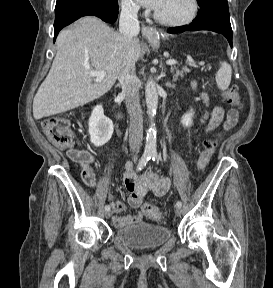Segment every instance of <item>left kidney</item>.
Segmentation results:
<instances>
[{"instance_id":"left-kidney-1","label":"left kidney","mask_w":273,"mask_h":288,"mask_svg":"<svg viewBox=\"0 0 273 288\" xmlns=\"http://www.w3.org/2000/svg\"><path fill=\"white\" fill-rule=\"evenodd\" d=\"M194 116V112L191 109L188 113L183 115L181 123L184 127H190L192 125V118Z\"/></svg>"}]
</instances>
